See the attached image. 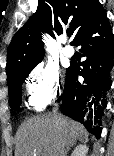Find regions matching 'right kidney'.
I'll return each instance as SVG.
<instances>
[{
	"instance_id": "1",
	"label": "right kidney",
	"mask_w": 114,
	"mask_h": 156,
	"mask_svg": "<svg viewBox=\"0 0 114 156\" xmlns=\"http://www.w3.org/2000/svg\"><path fill=\"white\" fill-rule=\"evenodd\" d=\"M87 153L88 147L86 145H78L72 152L71 156H86Z\"/></svg>"
}]
</instances>
